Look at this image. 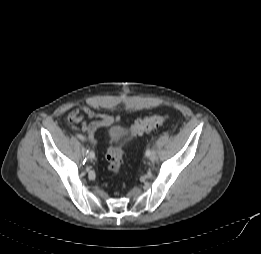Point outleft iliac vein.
I'll use <instances>...</instances> for the list:
<instances>
[{
    "mask_svg": "<svg viewBox=\"0 0 261 254\" xmlns=\"http://www.w3.org/2000/svg\"><path fill=\"white\" fill-rule=\"evenodd\" d=\"M155 159H156V153L155 152H153L152 153V155H151V157H150V161H155Z\"/></svg>",
    "mask_w": 261,
    "mask_h": 254,
    "instance_id": "1",
    "label": "left iliac vein"
}]
</instances>
